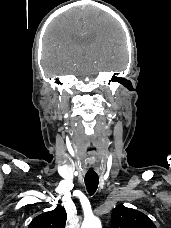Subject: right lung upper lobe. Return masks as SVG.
I'll return each mask as SVG.
<instances>
[{
	"mask_svg": "<svg viewBox=\"0 0 171 228\" xmlns=\"http://www.w3.org/2000/svg\"><path fill=\"white\" fill-rule=\"evenodd\" d=\"M67 214L62 206L35 217L28 228H65Z\"/></svg>",
	"mask_w": 171,
	"mask_h": 228,
	"instance_id": "obj_1",
	"label": "right lung upper lobe"
}]
</instances>
